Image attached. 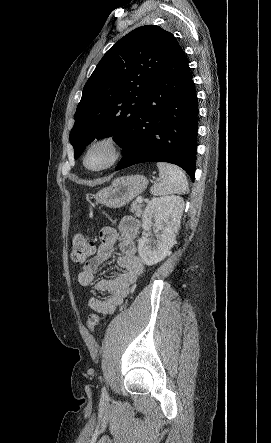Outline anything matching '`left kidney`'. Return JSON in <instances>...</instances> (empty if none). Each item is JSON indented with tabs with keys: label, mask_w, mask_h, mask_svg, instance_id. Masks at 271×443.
Segmentation results:
<instances>
[{
	"label": "left kidney",
	"mask_w": 271,
	"mask_h": 443,
	"mask_svg": "<svg viewBox=\"0 0 271 443\" xmlns=\"http://www.w3.org/2000/svg\"><path fill=\"white\" fill-rule=\"evenodd\" d=\"M184 200L179 196H164L154 198L145 208L142 216V227L145 231L154 225L161 229L157 235V243H151L150 233L138 239L139 255L146 265H155L162 261L176 243V233L180 227V220L184 210Z\"/></svg>",
	"instance_id": "obj_1"
}]
</instances>
